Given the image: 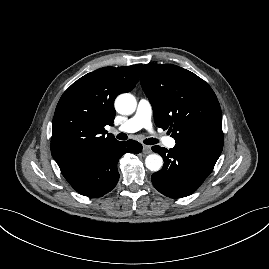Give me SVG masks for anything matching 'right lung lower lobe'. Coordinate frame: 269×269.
Returning a JSON list of instances; mask_svg holds the SVG:
<instances>
[{"instance_id":"obj_1","label":"right lung lower lobe","mask_w":269,"mask_h":269,"mask_svg":"<svg viewBox=\"0 0 269 269\" xmlns=\"http://www.w3.org/2000/svg\"><path fill=\"white\" fill-rule=\"evenodd\" d=\"M141 151L142 145L137 141H115L60 170L78 193L92 198L101 197L111 191L119 180L117 163L120 157L126 152L137 154Z\"/></svg>"}]
</instances>
